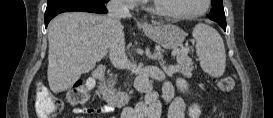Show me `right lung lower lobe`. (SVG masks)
<instances>
[{
	"instance_id": "1",
	"label": "right lung lower lobe",
	"mask_w": 273,
	"mask_h": 118,
	"mask_svg": "<svg viewBox=\"0 0 273 118\" xmlns=\"http://www.w3.org/2000/svg\"><path fill=\"white\" fill-rule=\"evenodd\" d=\"M106 2L101 0H48L45 12V26L56 15L63 12L82 11L98 14L107 13Z\"/></svg>"
}]
</instances>
